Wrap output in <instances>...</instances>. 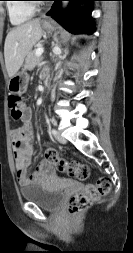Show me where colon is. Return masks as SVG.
I'll list each match as a JSON object with an SVG mask.
<instances>
[{
    "mask_svg": "<svg viewBox=\"0 0 133 253\" xmlns=\"http://www.w3.org/2000/svg\"><path fill=\"white\" fill-rule=\"evenodd\" d=\"M8 107L11 117L14 120H23L26 112V104L22 97L18 95H10L8 97ZM45 161L53 164L60 172L80 180L89 177L90 169L87 165L78 162H68L60 158L54 149H48L45 152ZM111 187L108 178H99L95 183L89 184L85 191L74 195L68 202L67 211L70 214L79 213L88 208L94 201L106 195Z\"/></svg>",
    "mask_w": 133,
    "mask_h": 253,
    "instance_id": "obj_1",
    "label": "colon"
}]
</instances>
